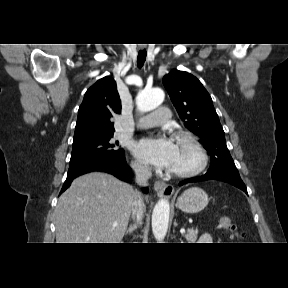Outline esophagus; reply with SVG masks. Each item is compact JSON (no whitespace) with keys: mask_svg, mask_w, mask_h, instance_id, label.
<instances>
[{"mask_svg":"<svg viewBox=\"0 0 288 288\" xmlns=\"http://www.w3.org/2000/svg\"><path fill=\"white\" fill-rule=\"evenodd\" d=\"M154 190L158 196L168 197L171 196L174 192V187L171 184H167L163 181H156L154 183Z\"/></svg>","mask_w":288,"mask_h":288,"instance_id":"34e87169","label":"esophagus"}]
</instances>
